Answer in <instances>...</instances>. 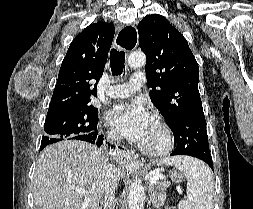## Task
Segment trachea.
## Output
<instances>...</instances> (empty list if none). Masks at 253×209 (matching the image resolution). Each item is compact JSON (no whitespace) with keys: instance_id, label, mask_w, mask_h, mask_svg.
I'll return each instance as SVG.
<instances>
[{"instance_id":"obj_1","label":"trachea","mask_w":253,"mask_h":209,"mask_svg":"<svg viewBox=\"0 0 253 209\" xmlns=\"http://www.w3.org/2000/svg\"><path fill=\"white\" fill-rule=\"evenodd\" d=\"M125 52L112 49L110 52V65L113 75H120L125 68Z\"/></svg>"}]
</instances>
